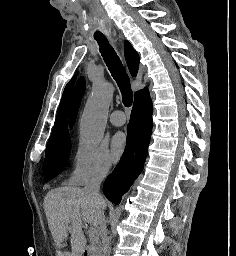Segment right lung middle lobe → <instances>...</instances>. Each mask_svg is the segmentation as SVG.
<instances>
[{"mask_svg": "<svg viewBox=\"0 0 236 256\" xmlns=\"http://www.w3.org/2000/svg\"><path fill=\"white\" fill-rule=\"evenodd\" d=\"M70 149L71 140L69 136L47 143L44 161L45 181L55 177L67 165Z\"/></svg>", "mask_w": 236, "mask_h": 256, "instance_id": "right-lung-middle-lobe-1", "label": "right lung middle lobe"}]
</instances>
